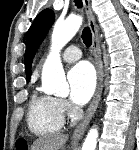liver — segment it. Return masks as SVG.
I'll return each mask as SVG.
<instances>
[{"label": "liver", "instance_id": "6515ba94", "mask_svg": "<svg viewBox=\"0 0 139 150\" xmlns=\"http://www.w3.org/2000/svg\"><path fill=\"white\" fill-rule=\"evenodd\" d=\"M64 134H53L39 137L31 146V150H60L67 141Z\"/></svg>", "mask_w": 139, "mask_h": 150}]
</instances>
